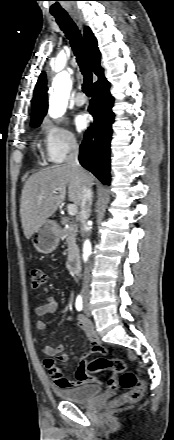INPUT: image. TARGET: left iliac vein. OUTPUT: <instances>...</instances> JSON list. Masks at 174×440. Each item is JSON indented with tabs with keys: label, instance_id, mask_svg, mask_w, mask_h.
Instances as JSON below:
<instances>
[{
	"label": "left iliac vein",
	"instance_id": "1",
	"mask_svg": "<svg viewBox=\"0 0 174 440\" xmlns=\"http://www.w3.org/2000/svg\"><path fill=\"white\" fill-rule=\"evenodd\" d=\"M84 312H85L86 316H88V317L90 316V310H89V307L87 304L84 305Z\"/></svg>",
	"mask_w": 174,
	"mask_h": 440
}]
</instances>
